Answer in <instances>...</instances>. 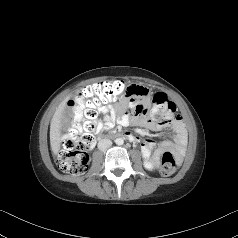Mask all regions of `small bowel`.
Masks as SVG:
<instances>
[{"instance_id": "c3829d8e", "label": "small bowel", "mask_w": 238, "mask_h": 238, "mask_svg": "<svg viewBox=\"0 0 238 238\" xmlns=\"http://www.w3.org/2000/svg\"><path fill=\"white\" fill-rule=\"evenodd\" d=\"M149 90L143 86L134 85L130 87V93L119 106L102 105L98 112L102 119L95 120L96 132H106L116 124L121 126H139L152 131H162L170 127L173 132V140H166L157 145L152 140H144L141 151L145 159H151L157 165L160 156L165 152H174L180 158L184 152L187 136L183 122L179 117H174L171 122H157L151 119L152 111L148 106ZM81 115H77L80 117ZM67 135H63L65 140ZM138 139V138H137Z\"/></svg>"}]
</instances>
